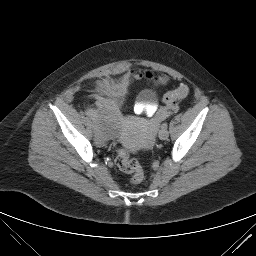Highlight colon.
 <instances>
[{"instance_id":"colon-1","label":"colon","mask_w":256,"mask_h":256,"mask_svg":"<svg viewBox=\"0 0 256 256\" xmlns=\"http://www.w3.org/2000/svg\"><path fill=\"white\" fill-rule=\"evenodd\" d=\"M190 89L187 85H180L174 90L167 92L162 101L167 107H173L178 101L188 96ZM116 164L119 169L125 173L131 174L130 183L139 184L144 179V171L141 165L134 159H131L124 148H118L116 153Z\"/></svg>"}]
</instances>
